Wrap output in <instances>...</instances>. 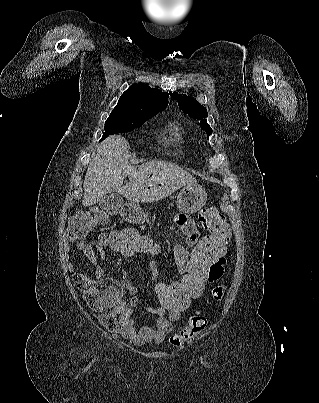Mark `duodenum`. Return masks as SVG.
Returning a JSON list of instances; mask_svg holds the SVG:
<instances>
[{"label": "duodenum", "mask_w": 319, "mask_h": 403, "mask_svg": "<svg viewBox=\"0 0 319 403\" xmlns=\"http://www.w3.org/2000/svg\"><path fill=\"white\" fill-rule=\"evenodd\" d=\"M134 211H135V206H133V205H125L123 208V214L126 217L132 216L134 214Z\"/></svg>", "instance_id": "obj_1"}]
</instances>
